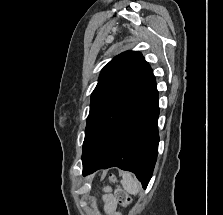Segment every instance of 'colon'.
<instances>
[{
  "label": "colon",
  "instance_id": "colon-1",
  "mask_svg": "<svg viewBox=\"0 0 223 215\" xmlns=\"http://www.w3.org/2000/svg\"><path fill=\"white\" fill-rule=\"evenodd\" d=\"M115 180V179H114ZM113 200L121 205L128 206L131 203V198L128 193L120 186L114 191Z\"/></svg>",
  "mask_w": 223,
  "mask_h": 215
}]
</instances>
